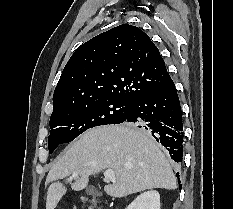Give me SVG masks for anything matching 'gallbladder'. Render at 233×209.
I'll use <instances>...</instances> for the list:
<instances>
[{"mask_svg":"<svg viewBox=\"0 0 233 209\" xmlns=\"http://www.w3.org/2000/svg\"><path fill=\"white\" fill-rule=\"evenodd\" d=\"M86 193L90 194V195H97L98 191L96 188H94L93 186H90L86 189Z\"/></svg>","mask_w":233,"mask_h":209,"instance_id":"gallbladder-1","label":"gallbladder"}]
</instances>
